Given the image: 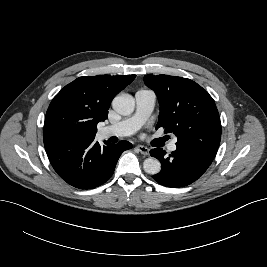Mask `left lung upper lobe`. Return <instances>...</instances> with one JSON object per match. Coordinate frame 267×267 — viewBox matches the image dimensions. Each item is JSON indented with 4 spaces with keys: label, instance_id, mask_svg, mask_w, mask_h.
Listing matches in <instances>:
<instances>
[{
    "label": "left lung upper lobe",
    "instance_id": "obj_1",
    "mask_svg": "<svg viewBox=\"0 0 267 267\" xmlns=\"http://www.w3.org/2000/svg\"><path fill=\"white\" fill-rule=\"evenodd\" d=\"M144 83L157 95L160 104L156 129L177 136L176 145L218 149L221 122L215 102L194 81L169 75H145Z\"/></svg>",
    "mask_w": 267,
    "mask_h": 267
}]
</instances>
